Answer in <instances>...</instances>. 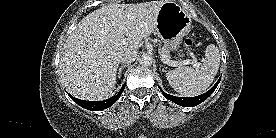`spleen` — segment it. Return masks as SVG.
I'll list each match as a JSON object with an SVG mask.
<instances>
[{
	"instance_id": "1",
	"label": "spleen",
	"mask_w": 276,
	"mask_h": 138,
	"mask_svg": "<svg viewBox=\"0 0 276 138\" xmlns=\"http://www.w3.org/2000/svg\"><path fill=\"white\" fill-rule=\"evenodd\" d=\"M205 61L200 68L178 67L166 74L169 84L183 96L191 97L204 92L213 82L220 65L218 47H206Z\"/></svg>"
}]
</instances>
